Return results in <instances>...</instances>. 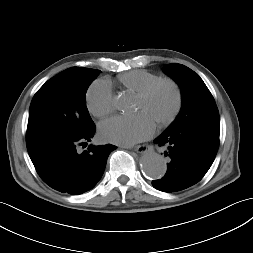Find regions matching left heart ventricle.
I'll list each match as a JSON object with an SVG mask.
<instances>
[{
  "mask_svg": "<svg viewBox=\"0 0 253 253\" xmlns=\"http://www.w3.org/2000/svg\"><path fill=\"white\" fill-rule=\"evenodd\" d=\"M174 105V93L168 85L158 87L149 98L137 97L135 110L145 112L155 123L166 118Z\"/></svg>",
  "mask_w": 253,
  "mask_h": 253,
  "instance_id": "1",
  "label": "left heart ventricle"
}]
</instances>
